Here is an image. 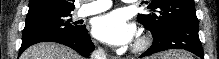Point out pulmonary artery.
Listing matches in <instances>:
<instances>
[{
  "instance_id": "1",
  "label": "pulmonary artery",
  "mask_w": 219,
  "mask_h": 59,
  "mask_svg": "<svg viewBox=\"0 0 219 59\" xmlns=\"http://www.w3.org/2000/svg\"><path fill=\"white\" fill-rule=\"evenodd\" d=\"M87 2L88 4L79 10V15L81 17L97 14L111 7V1L108 0H93Z\"/></svg>"
}]
</instances>
